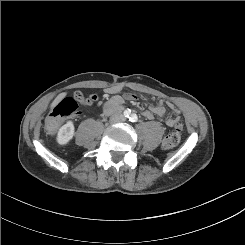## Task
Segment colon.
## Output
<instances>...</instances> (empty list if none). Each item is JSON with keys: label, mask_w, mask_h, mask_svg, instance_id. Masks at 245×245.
<instances>
[{"label": "colon", "mask_w": 245, "mask_h": 245, "mask_svg": "<svg viewBox=\"0 0 245 245\" xmlns=\"http://www.w3.org/2000/svg\"><path fill=\"white\" fill-rule=\"evenodd\" d=\"M96 96L87 91H76L72 96L63 99L47 116L44 129L48 134H55L63 119L79 114L80 105H91ZM181 125L178 123L162 141V147L166 150L176 147L180 141Z\"/></svg>", "instance_id": "5ec220e1"}]
</instances>
